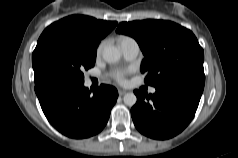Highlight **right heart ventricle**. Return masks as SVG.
<instances>
[{
  "mask_svg": "<svg viewBox=\"0 0 238 158\" xmlns=\"http://www.w3.org/2000/svg\"><path fill=\"white\" fill-rule=\"evenodd\" d=\"M128 37H121L119 40H120V42L121 41H123V40H125V39H127Z\"/></svg>",
  "mask_w": 238,
  "mask_h": 158,
  "instance_id": "obj_1",
  "label": "right heart ventricle"
}]
</instances>
